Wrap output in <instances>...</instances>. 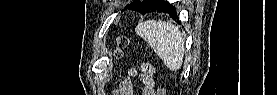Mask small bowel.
Segmentation results:
<instances>
[{
  "instance_id": "small-bowel-1",
  "label": "small bowel",
  "mask_w": 277,
  "mask_h": 95,
  "mask_svg": "<svg viewBox=\"0 0 277 95\" xmlns=\"http://www.w3.org/2000/svg\"><path fill=\"white\" fill-rule=\"evenodd\" d=\"M151 72V67L143 68L141 71L136 69L131 70L133 76H138L140 73L142 76H149ZM145 88L143 89V95H164V91L160 88H155L150 81H145ZM119 91H116L114 94H123V95H132L133 94V85L130 78H125L119 83Z\"/></svg>"
}]
</instances>
